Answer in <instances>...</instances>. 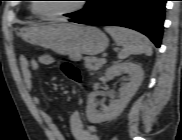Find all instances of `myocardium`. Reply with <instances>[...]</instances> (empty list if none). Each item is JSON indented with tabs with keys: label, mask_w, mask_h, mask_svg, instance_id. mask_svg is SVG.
I'll return each instance as SVG.
<instances>
[{
	"label": "myocardium",
	"mask_w": 182,
	"mask_h": 140,
	"mask_svg": "<svg viewBox=\"0 0 182 140\" xmlns=\"http://www.w3.org/2000/svg\"><path fill=\"white\" fill-rule=\"evenodd\" d=\"M83 7H84V4H83L82 1H80V3H77L76 6H74L73 8H71V9H69V10L62 11V12H57V13H53V14H43V13H41V12L38 10L36 4H34V5L32 6V9H33L34 13H35L39 18H42V19H56V18H60V17H63V16L70 15V14H72V13L78 12V11H80Z\"/></svg>",
	"instance_id": "1"
}]
</instances>
